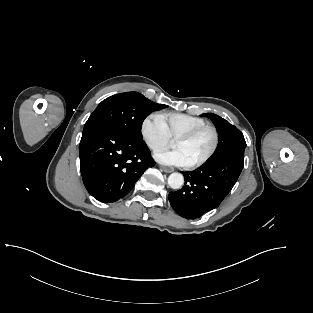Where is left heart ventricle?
<instances>
[{
	"label": "left heart ventricle",
	"instance_id": "obj_1",
	"mask_svg": "<svg viewBox=\"0 0 313 313\" xmlns=\"http://www.w3.org/2000/svg\"><path fill=\"white\" fill-rule=\"evenodd\" d=\"M213 134L206 130L190 141H179L174 143L175 148L181 149L188 157L190 163L203 158L212 148Z\"/></svg>",
	"mask_w": 313,
	"mask_h": 313
}]
</instances>
